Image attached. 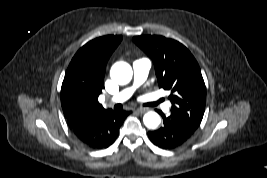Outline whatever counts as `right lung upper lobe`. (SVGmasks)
<instances>
[{"label":"right lung upper lobe","instance_id":"1","mask_svg":"<svg viewBox=\"0 0 267 178\" xmlns=\"http://www.w3.org/2000/svg\"><path fill=\"white\" fill-rule=\"evenodd\" d=\"M122 36H103L89 41L72 58L61 87V105L68 123L106 109L98 102L104 88L106 64Z\"/></svg>","mask_w":267,"mask_h":178}]
</instances>
